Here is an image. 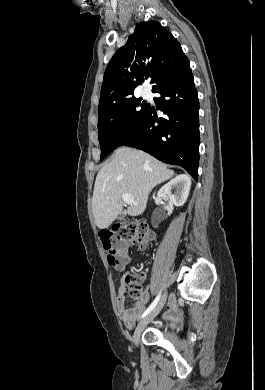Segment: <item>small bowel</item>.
I'll use <instances>...</instances> for the list:
<instances>
[{
    "label": "small bowel",
    "instance_id": "small-bowel-1",
    "mask_svg": "<svg viewBox=\"0 0 265 390\" xmlns=\"http://www.w3.org/2000/svg\"><path fill=\"white\" fill-rule=\"evenodd\" d=\"M128 260L126 261V263ZM127 275H125L124 279L121 281L118 287V297H117V308L119 312V316L123 324L127 328H131L139 315L144 310L146 304L149 301V294L147 292L143 293V296L140 298L138 302H136L131 308L126 307L125 303V293H126V278ZM170 318H177L178 313L176 311V305L174 302L171 303L170 306V312L168 314Z\"/></svg>",
    "mask_w": 265,
    "mask_h": 390
}]
</instances>
